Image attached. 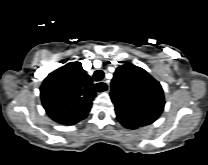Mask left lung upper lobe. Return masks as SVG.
I'll use <instances>...</instances> for the list:
<instances>
[{"instance_id": "5c2ea615", "label": "left lung upper lobe", "mask_w": 208, "mask_h": 165, "mask_svg": "<svg viewBox=\"0 0 208 165\" xmlns=\"http://www.w3.org/2000/svg\"><path fill=\"white\" fill-rule=\"evenodd\" d=\"M110 96L117 119L126 128L150 125L164 110L165 99L160 83L133 64L116 69Z\"/></svg>"}]
</instances>
